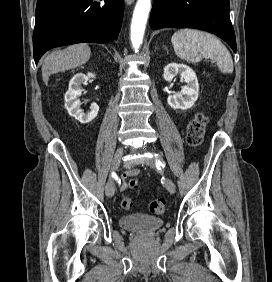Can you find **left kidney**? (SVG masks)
<instances>
[{
    "instance_id": "1",
    "label": "left kidney",
    "mask_w": 272,
    "mask_h": 282,
    "mask_svg": "<svg viewBox=\"0 0 272 282\" xmlns=\"http://www.w3.org/2000/svg\"><path fill=\"white\" fill-rule=\"evenodd\" d=\"M176 75H180L186 82L181 92L169 95L167 103L173 109L186 110L191 108L198 99L199 84L196 73L187 65L170 63L164 67L163 78L171 82Z\"/></svg>"
}]
</instances>
